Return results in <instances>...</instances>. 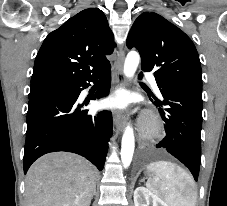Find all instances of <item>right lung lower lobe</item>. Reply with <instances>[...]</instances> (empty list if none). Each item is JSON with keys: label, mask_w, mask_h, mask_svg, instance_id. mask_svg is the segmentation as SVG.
Listing matches in <instances>:
<instances>
[{"label": "right lung lower lobe", "mask_w": 227, "mask_h": 206, "mask_svg": "<svg viewBox=\"0 0 227 206\" xmlns=\"http://www.w3.org/2000/svg\"><path fill=\"white\" fill-rule=\"evenodd\" d=\"M104 75V84L92 98L99 99L109 92L110 66L98 76L71 82L67 92L29 98L24 173L37 158L54 151L77 153L99 170L103 169L112 136L111 112L89 115L88 110L80 109L82 106L77 104V99L80 92L90 85L88 82H96Z\"/></svg>", "instance_id": "obj_1"}]
</instances>
